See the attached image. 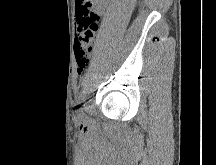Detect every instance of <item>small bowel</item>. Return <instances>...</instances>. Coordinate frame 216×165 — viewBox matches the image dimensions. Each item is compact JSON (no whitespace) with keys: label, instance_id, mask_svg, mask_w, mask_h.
<instances>
[{"label":"small bowel","instance_id":"obj_1","mask_svg":"<svg viewBox=\"0 0 216 165\" xmlns=\"http://www.w3.org/2000/svg\"><path fill=\"white\" fill-rule=\"evenodd\" d=\"M109 0H76L77 27L82 19V10H92L97 16L104 13Z\"/></svg>","mask_w":216,"mask_h":165}]
</instances>
